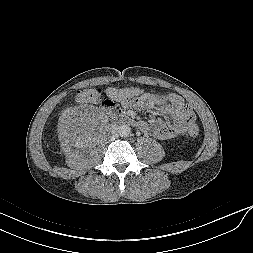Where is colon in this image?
<instances>
[{
  "label": "colon",
  "instance_id": "5ec220e1",
  "mask_svg": "<svg viewBox=\"0 0 253 253\" xmlns=\"http://www.w3.org/2000/svg\"><path fill=\"white\" fill-rule=\"evenodd\" d=\"M142 92L143 90L137 87H129L125 89L110 88L107 90V99L127 102L138 97ZM101 95L102 89L99 87L86 89L79 93V97L84 101H96L100 99ZM187 132L191 137L197 136L199 133L198 125L195 122L190 123Z\"/></svg>",
  "mask_w": 253,
  "mask_h": 253
}]
</instances>
